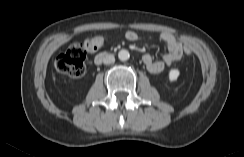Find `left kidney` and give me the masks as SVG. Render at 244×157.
I'll use <instances>...</instances> for the list:
<instances>
[{
  "label": "left kidney",
  "mask_w": 244,
  "mask_h": 157,
  "mask_svg": "<svg viewBox=\"0 0 244 157\" xmlns=\"http://www.w3.org/2000/svg\"><path fill=\"white\" fill-rule=\"evenodd\" d=\"M179 75H180V72L178 69H171L169 71V80L170 81H176L177 78L179 77Z\"/></svg>",
  "instance_id": "5707ae66"
}]
</instances>
